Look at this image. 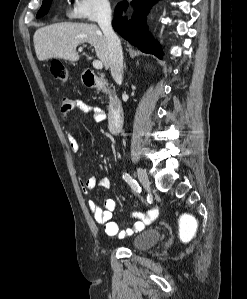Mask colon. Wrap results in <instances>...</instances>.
<instances>
[{
	"label": "colon",
	"mask_w": 247,
	"mask_h": 299,
	"mask_svg": "<svg viewBox=\"0 0 247 299\" xmlns=\"http://www.w3.org/2000/svg\"><path fill=\"white\" fill-rule=\"evenodd\" d=\"M51 74L54 78L66 81L68 72L65 66L59 61H53L50 66ZM181 236L183 239H188L195 231V221L189 216H183L180 220Z\"/></svg>",
	"instance_id": "colon-1"
}]
</instances>
